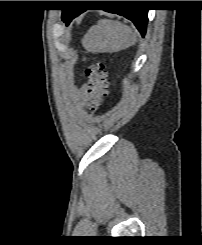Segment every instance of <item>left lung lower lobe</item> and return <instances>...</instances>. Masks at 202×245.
I'll return each instance as SVG.
<instances>
[{
  "label": "left lung lower lobe",
  "instance_id": "obj_1",
  "mask_svg": "<svg viewBox=\"0 0 202 245\" xmlns=\"http://www.w3.org/2000/svg\"><path fill=\"white\" fill-rule=\"evenodd\" d=\"M124 4H130V5H137L139 4L136 1H125ZM85 10L84 9H66L63 10V17H66L64 19V22L66 24H69L71 20L75 17H77L79 14L83 13ZM107 12L111 13H116L118 15L124 16L127 19L131 20L139 32L141 33L142 36L145 35L146 32V27H147V15H148V10L147 9H142V8H119V9H109L105 10Z\"/></svg>",
  "mask_w": 202,
  "mask_h": 245
}]
</instances>
